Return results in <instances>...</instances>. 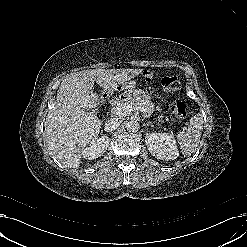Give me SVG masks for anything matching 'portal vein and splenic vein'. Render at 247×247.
Wrapping results in <instances>:
<instances>
[{"label":"portal vein and splenic vein","instance_id":"obj_1","mask_svg":"<svg viewBox=\"0 0 247 247\" xmlns=\"http://www.w3.org/2000/svg\"><path fill=\"white\" fill-rule=\"evenodd\" d=\"M138 110V108H133L131 105L116 106L111 109V113L119 117H125L132 111Z\"/></svg>","mask_w":247,"mask_h":247}]
</instances>
